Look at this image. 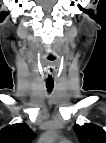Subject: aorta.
I'll use <instances>...</instances> for the list:
<instances>
[{
	"label": "aorta",
	"mask_w": 106,
	"mask_h": 143,
	"mask_svg": "<svg viewBox=\"0 0 106 143\" xmlns=\"http://www.w3.org/2000/svg\"><path fill=\"white\" fill-rule=\"evenodd\" d=\"M53 140H54L53 134H48L47 137H46V141L52 142Z\"/></svg>",
	"instance_id": "aorta-1"
}]
</instances>
